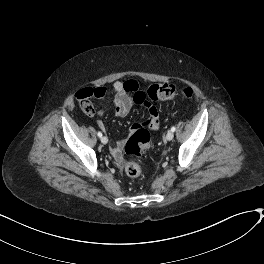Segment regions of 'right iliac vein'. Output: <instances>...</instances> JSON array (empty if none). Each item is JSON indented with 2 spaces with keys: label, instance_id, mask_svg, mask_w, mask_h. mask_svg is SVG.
Segmentation results:
<instances>
[{
  "label": "right iliac vein",
  "instance_id": "right-iliac-vein-1",
  "mask_svg": "<svg viewBox=\"0 0 264 264\" xmlns=\"http://www.w3.org/2000/svg\"><path fill=\"white\" fill-rule=\"evenodd\" d=\"M101 142H102L103 144H106V143L108 142V138L105 137V136H102V137H101Z\"/></svg>",
  "mask_w": 264,
  "mask_h": 264
}]
</instances>
